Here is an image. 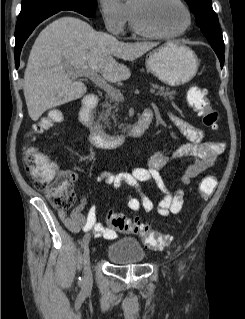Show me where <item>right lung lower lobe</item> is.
Returning a JSON list of instances; mask_svg holds the SVG:
<instances>
[{"mask_svg":"<svg viewBox=\"0 0 245 319\" xmlns=\"http://www.w3.org/2000/svg\"><path fill=\"white\" fill-rule=\"evenodd\" d=\"M59 11L61 10L44 12V13H40L35 16H32L28 19L17 21L16 28H15L16 43H15V49H14L16 68L19 67V58H20L22 46L27 40V38L29 37V35L32 33V31L35 29V27L39 23H41L43 20H45L46 18L50 17L51 15Z\"/></svg>","mask_w":245,"mask_h":319,"instance_id":"right-lung-lower-lobe-1","label":"right lung lower lobe"}]
</instances>
